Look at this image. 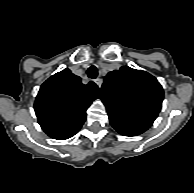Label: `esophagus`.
<instances>
[{"label":"esophagus","mask_w":194,"mask_h":193,"mask_svg":"<svg viewBox=\"0 0 194 193\" xmlns=\"http://www.w3.org/2000/svg\"><path fill=\"white\" fill-rule=\"evenodd\" d=\"M95 83L97 84V86H98L99 88H101L102 83H103V80H102L101 78H97V79H95Z\"/></svg>","instance_id":"esophagus-1"}]
</instances>
